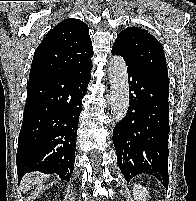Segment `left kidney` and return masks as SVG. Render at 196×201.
<instances>
[{
  "label": "left kidney",
  "instance_id": "obj_1",
  "mask_svg": "<svg viewBox=\"0 0 196 201\" xmlns=\"http://www.w3.org/2000/svg\"><path fill=\"white\" fill-rule=\"evenodd\" d=\"M133 196L136 201H148L149 194L144 186L137 184L133 189Z\"/></svg>",
  "mask_w": 196,
  "mask_h": 201
}]
</instances>
